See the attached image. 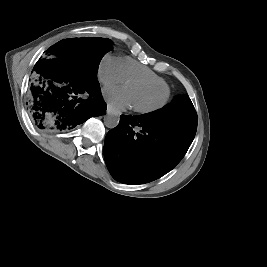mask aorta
<instances>
[{"label": "aorta", "instance_id": "aorta-1", "mask_svg": "<svg viewBox=\"0 0 267 267\" xmlns=\"http://www.w3.org/2000/svg\"><path fill=\"white\" fill-rule=\"evenodd\" d=\"M119 116L116 113H107L104 116V124L108 128H115L119 124Z\"/></svg>", "mask_w": 267, "mask_h": 267}]
</instances>
